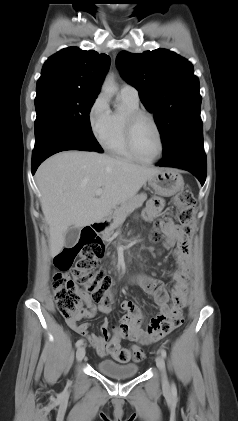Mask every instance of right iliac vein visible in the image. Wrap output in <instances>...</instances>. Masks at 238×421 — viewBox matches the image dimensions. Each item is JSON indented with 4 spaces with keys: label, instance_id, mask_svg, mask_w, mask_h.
Returning <instances> with one entry per match:
<instances>
[{
    "label": "right iliac vein",
    "instance_id": "1",
    "mask_svg": "<svg viewBox=\"0 0 238 421\" xmlns=\"http://www.w3.org/2000/svg\"><path fill=\"white\" fill-rule=\"evenodd\" d=\"M84 357H85V347L80 346V347H78V349L76 351V359H77L78 362H81Z\"/></svg>",
    "mask_w": 238,
    "mask_h": 421
}]
</instances>
